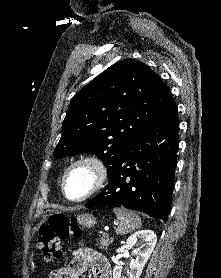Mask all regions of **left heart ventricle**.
<instances>
[{
    "instance_id": "left-heart-ventricle-1",
    "label": "left heart ventricle",
    "mask_w": 221,
    "mask_h": 278,
    "mask_svg": "<svg viewBox=\"0 0 221 278\" xmlns=\"http://www.w3.org/2000/svg\"><path fill=\"white\" fill-rule=\"evenodd\" d=\"M94 179L93 170L88 166H79L73 169L67 178L66 193L71 198L84 195Z\"/></svg>"
}]
</instances>
